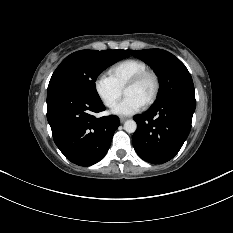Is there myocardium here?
<instances>
[{"label":"myocardium","instance_id":"f54148a6","mask_svg":"<svg viewBox=\"0 0 233 233\" xmlns=\"http://www.w3.org/2000/svg\"><path fill=\"white\" fill-rule=\"evenodd\" d=\"M147 78H152L154 82V89L149 99L144 103V106L146 107L152 105L156 101L160 92V79L156 72L146 69L132 77L123 88V91H125L127 88L140 84Z\"/></svg>","mask_w":233,"mask_h":233}]
</instances>
